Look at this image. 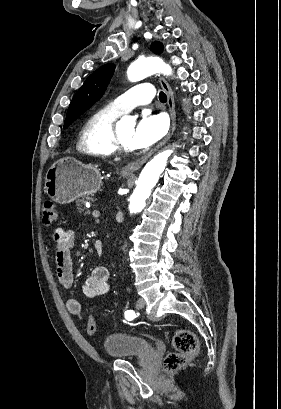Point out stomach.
Instances as JSON below:
<instances>
[{
	"instance_id": "1",
	"label": "stomach",
	"mask_w": 281,
	"mask_h": 409,
	"mask_svg": "<svg viewBox=\"0 0 281 409\" xmlns=\"http://www.w3.org/2000/svg\"><path fill=\"white\" fill-rule=\"evenodd\" d=\"M101 184L100 168L95 164H83L73 156H64L53 162L45 176V192L60 205H66L79 196L94 194Z\"/></svg>"
}]
</instances>
